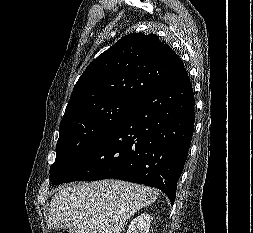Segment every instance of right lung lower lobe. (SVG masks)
Returning a JSON list of instances; mask_svg holds the SVG:
<instances>
[{"instance_id": "98d812e1", "label": "right lung lower lobe", "mask_w": 253, "mask_h": 233, "mask_svg": "<svg viewBox=\"0 0 253 233\" xmlns=\"http://www.w3.org/2000/svg\"><path fill=\"white\" fill-rule=\"evenodd\" d=\"M194 106L183 68L136 99L119 124L53 184L121 179L156 187L173 205L193 135Z\"/></svg>"}]
</instances>
